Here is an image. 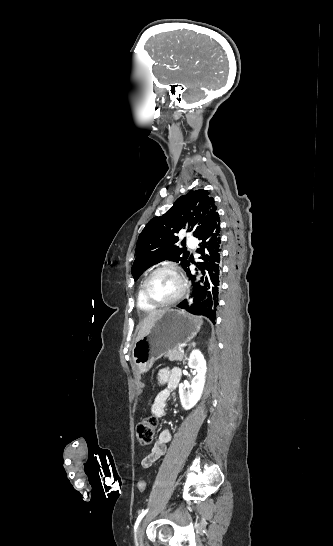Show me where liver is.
<instances>
[{
	"label": "liver",
	"mask_w": 333,
	"mask_h": 546,
	"mask_svg": "<svg viewBox=\"0 0 333 546\" xmlns=\"http://www.w3.org/2000/svg\"><path fill=\"white\" fill-rule=\"evenodd\" d=\"M166 311L167 309H162L158 311H152L151 313H149L147 317L144 318L142 324L140 325L136 341H138L143 336H145L149 332V330L152 328L154 322L158 320Z\"/></svg>",
	"instance_id": "6515ba94"
}]
</instances>
